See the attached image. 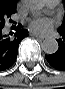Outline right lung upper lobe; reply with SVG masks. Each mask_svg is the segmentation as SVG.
Listing matches in <instances>:
<instances>
[{
    "mask_svg": "<svg viewBox=\"0 0 65 89\" xmlns=\"http://www.w3.org/2000/svg\"><path fill=\"white\" fill-rule=\"evenodd\" d=\"M9 1L14 2V3H17V0H9Z\"/></svg>",
    "mask_w": 65,
    "mask_h": 89,
    "instance_id": "right-lung-upper-lobe-1",
    "label": "right lung upper lobe"
}]
</instances>
